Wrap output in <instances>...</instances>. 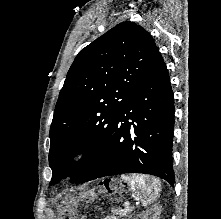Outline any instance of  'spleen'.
<instances>
[{"label": "spleen", "instance_id": "3e777b00", "mask_svg": "<svg viewBox=\"0 0 221 219\" xmlns=\"http://www.w3.org/2000/svg\"><path fill=\"white\" fill-rule=\"evenodd\" d=\"M121 179L129 184L144 207L153 202L160 191V182L150 176L136 174L128 176L123 174Z\"/></svg>", "mask_w": 221, "mask_h": 219}]
</instances>
